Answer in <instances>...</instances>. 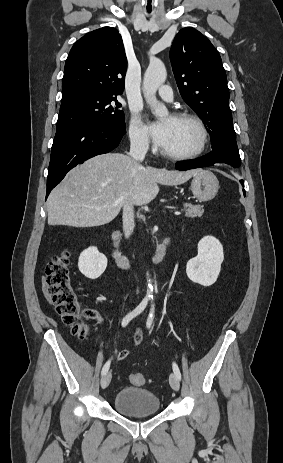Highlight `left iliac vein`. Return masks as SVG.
I'll list each match as a JSON object with an SVG mask.
<instances>
[{
	"label": "left iliac vein",
	"instance_id": "left-iliac-vein-1",
	"mask_svg": "<svg viewBox=\"0 0 283 463\" xmlns=\"http://www.w3.org/2000/svg\"><path fill=\"white\" fill-rule=\"evenodd\" d=\"M169 383L173 390L178 391L180 388V382L175 373H171L169 376Z\"/></svg>",
	"mask_w": 283,
	"mask_h": 463
}]
</instances>
